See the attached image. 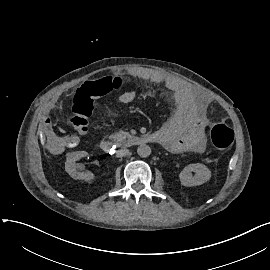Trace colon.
Here are the masks:
<instances>
[{
  "mask_svg": "<svg viewBox=\"0 0 270 270\" xmlns=\"http://www.w3.org/2000/svg\"><path fill=\"white\" fill-rule=\"evenodd\" d=\"M125 82L119 78L112 85L87 82L79 87L72 97L70 122L80 134H86L98 98L113 89H120ZM212 144L219 150L228 149L234 141V132L223 122L215 124L210 131Z\"/></svg>",
  "mask_w": 270,
  "mask_h": 270,
  "instance_id": "obj_1",
  "label": "colon"
}]
</instances>
